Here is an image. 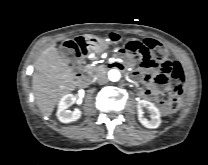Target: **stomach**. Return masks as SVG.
Listing matches in <instances>:
<instances>
[{"instance_id":"stomach-1","label":"stomach","mask_w":208,"mask_h":165,"mask_svg":"<svg viewBox=\"0 0 208 165\" xmlns=\"http://www.w3.org/2000/svg\"><path fill=\"white\" fill-rule=\"evenodd\" d=\"M85 41L91 51L101 52L108 48L109 43L95 35H86Z\"/></svg>"}]
</instances>
